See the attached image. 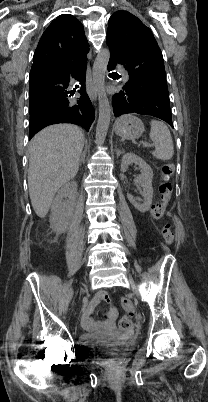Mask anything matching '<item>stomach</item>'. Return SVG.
Listing matches in <instances>:
<instances>
[{
	"instance_id": "0dacf381",
	"label": "stomach",
	"mask_w": 208,
	"mask_h": 402,
	"mask_svg": "<svg viewBox=\"0 0 208 402\" xmlns=\"http://www.w3.org/2000/svg\"><path fill=\"white\" fill-rule=\"evenodd\" d=\"M115 134L124 138V140H137L144 132L143 122L132 116V114H125L117 120L115 124Z\"/></svg>"
}]
</instances>
